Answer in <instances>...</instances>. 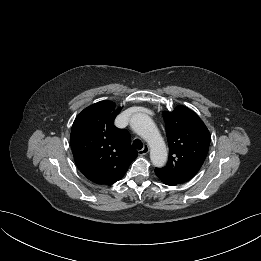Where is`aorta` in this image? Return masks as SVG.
I'll return each instance as SVG.
<instances>
[{
	"mask_svg": "<svg viewBox=\"0 0 261 261\" xmlns=\"http://www.w3.org/2000/svg\"><path fill=\"white\" fill-rule=\"evenodd\" d=\"M130 126L148 143L152 163L156 167L164 166L168 157L167 148L152 118L143 113L134 114L130 119Z\"/></svg>",
	"mask_w": 261,
	"mask_h": 261,
	"instance_id": "762f6f07",
	"label": "aorta"
}]
</instances>
